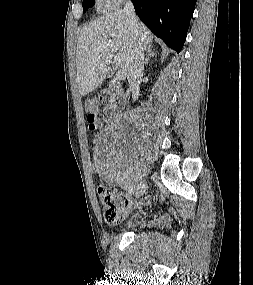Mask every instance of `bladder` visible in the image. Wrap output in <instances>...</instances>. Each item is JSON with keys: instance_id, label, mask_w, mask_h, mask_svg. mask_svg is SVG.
I'll return each instance as SVG.
<instances>
[{"instance_id": "obj_1", "label": "bladder", "mask_w": 253, "mask_h": 285, "mask_svg": "<svg viewBox=\"0 0 253 285\" xmlns=\"http://www.w3.org/2000/svg\"><path fill=\"white\" fill-rule=\"evenodd\" d=\"M150 218V214L145 211H139L133 214L123 225V230L130 231L144 224Z\"/></svg>"}]
</instances>
